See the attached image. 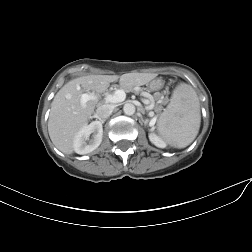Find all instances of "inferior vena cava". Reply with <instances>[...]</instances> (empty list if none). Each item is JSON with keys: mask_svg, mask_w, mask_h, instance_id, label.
<instances>
[{"mask_svg": "<svg viewBox=\"0 0 252 252\" xmlns=\"http://www.w3.org/2000/svg\"><path fill=\"white\" fill-rule=\"evenodd\" d=\"M114 109L115 105L113 104H103L98 106L96 114L100 119H106L112 114Z\"/></svg>", "mask_w": 252, "mask_h": 252, "instance_id": "inferior-vena-cava-1", "label": "inferior vena cava"}]
</instances>
